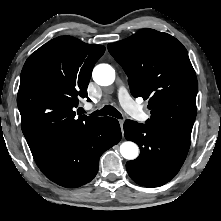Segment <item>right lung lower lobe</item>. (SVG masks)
Instances as JSON below:
<instances>
[{
    "mask_svg": "<svg viewBox=\"0 0 221 221\" xmlns=\"http://www.w3.org/2000/svg\"><path fill=\"white\" fill-rule=\"evenodd\" d=\"M121 136L116 119L99 118L37 163L38 167L46 177L60 186L79 187L96 176L101 155L117 144Z\"/></svg>",
    "mask_w": 221,
    "mask_h": 221,
    "instance_id": "obj_1",
    "label": "right lung lower lobe"
}]
</instances>
